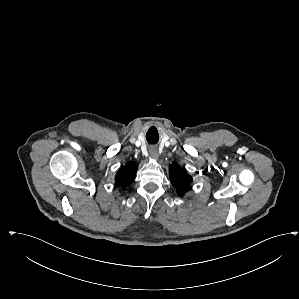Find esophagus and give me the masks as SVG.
Listing matches in <instances>:
<instances>
[{
  "label": "esophagus",
  "instance_id": "obj_1",
  "mask_svg": "<svg viewBox=\"0 0 299 299\" xmlns=\"http://www.w3.org/2000/svg\"><path fill=\"white\" fill-rule=\"evenodd\" d=\"M149 151H150L152 158H154V159L158 158V152H157L156 148L152 147V148H150Z\"/></svg>",
  "mask_w": 299,
  "mask_h": 299
}]
</instances>
